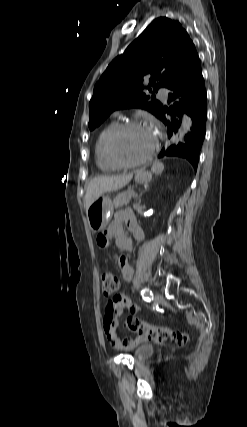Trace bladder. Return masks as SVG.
Instances as JSON below:
<instances>
[{
	"label": "bladder",
	"instance_id": "1",
	"mask_svg": "<svg viewBox=\"0 0 247 427\" xmlns=\"http://www.w3.org/2000/svg\"><path fill=\"white\" fill-rule=\"evenodd\" d=\"M154 353V347L150 344H142L134 350L137 359H146Z\"/></svg>",
	"mask_w": 247,
	"mask_h": 427
}]
</instances>
